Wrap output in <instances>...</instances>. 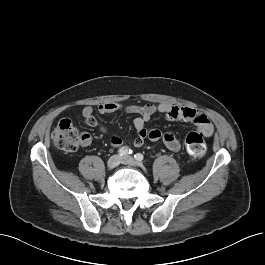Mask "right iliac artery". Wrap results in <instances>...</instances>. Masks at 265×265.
<instances>
[{
  "label": "right iliac artery",
  "mask_w": 265,
  "mask_h": 265,
  "mask_svg": "<svg viewBox=\"0 0 265 265\" xmlns=\"http://www.w3.org/2000/svg\"><path fill=\"white\" fill-rule=\"evenodd\" d=\"M118 153H119L121 156H125V155H128V154H131V153H132V150L129 149L128 147H121V148L118 150Z\"/></svg>",
  "instance_id": "82829eb1"
}]
</instances>
